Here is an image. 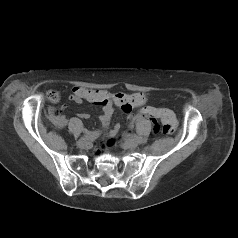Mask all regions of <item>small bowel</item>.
Segmentation results:
<instances>
[{
    "label": "small bowel",
    "instance_id": "obj_1",
    "mask_svg": "<svg viewBox=\"0 0 238 238\" xmlns=\"http://www.w3.org/2000/svg\"><path fill=\"white\" fill-rule=\"evenodd\" d=\"M69 99L77 104L87 101L89 103L101 106L102 114L100 116V122L102 127L106 130L110 124V120L114 111L115 103L124 112L129 113L127 118L128 125H132L137 119L136 116H132L130 113L133 108L140 107L145 104L146 96L142 93H134L131 95L117 93L113 96L105 90L86 89L82 87H74ZM51 119L57 127H64L67 124V119L61 114L60 110H50ZM80 118L87 119L89 117L86 113H80ZM120 126L117 124L112 130L109 131L111 136L115 135L119 131Z\"/></svg>",
    "mask_w": 238,
    "mask_h": 238
}]
</instances>
